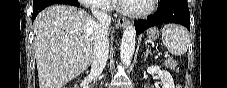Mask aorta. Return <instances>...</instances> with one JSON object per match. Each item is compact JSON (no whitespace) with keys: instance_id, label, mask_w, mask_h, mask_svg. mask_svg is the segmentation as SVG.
I'll return each mask as SVG.
<instances>
[{"instance_id":"obj_1","label":"aorta","mask_w":227,"mask_h":88,"mask_svg":"<svg viewBox=\"0 0 227 88\" xmlns=\"http://www.w3.org/2000/svg\"><path fill=\"white\" fill-rule=\"evenodd\" d=\"M136 43V32L133 25H129L122 36L120 58L125 66H129L133 58Z\"/></svg>"}]
</instances>
